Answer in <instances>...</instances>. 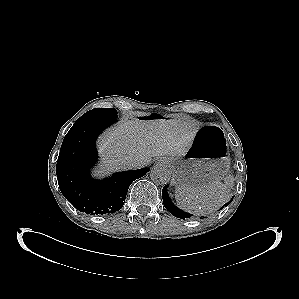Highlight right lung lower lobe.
I'll use <instances>...</instances> for the list:
<instances>
[{
  "label": "right lung lower lobe",
  "instance_id": "1",
  "mask_svg": "<svg viewBox=\"0 0 299 299\" xmlns=\"http://www.w3.org/2000/svg\"><path fill=\"white\" fill-rule=\"evenodd\" d=\"M116 120L74 123L66 134L56 165L58 184L65 198L80 212L109 214L124 204L131 183L149 168L119 172L104 180H94L89 171L97 159L95 140Z\"/></svg>",
  "mask_w": 299,
  "mask_h": 299
}]
</instances>
